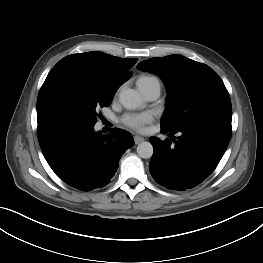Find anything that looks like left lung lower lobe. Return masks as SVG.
<instances>
[{
	"label": "left lung lower lobe",
	"instance_id": "1",
	"mask_svg": "<svg viewBox=\"0 0 263 263\" xmlns=\"http://www.w3.org/2000/svg\"><path fill=\"white\" fill-rule=\"evenodd\" d=\"M170 132V139L150 138L154 153L149 170L153 179L173 190L191 189L205 180L221 160L231 138V123L207 118ZM179 136L176 138L174 135Z\"/></svg>",
	"mask_w": 263,
	"mask_h": 263
}]
</instances>
